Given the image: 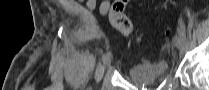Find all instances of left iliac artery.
<instances>
[{
	"instance_id": "44dca946",
	"label": "left iliac artery",
	"mask_w": 209,
	"mask_h": 90,
	"mask_svg": "<svg viewBox=\"0 0 209 90\" xmlns=\"http://www.w3.org/2000/svg\"><path fill=\"white\" fill-rule=\"evenodd\" d=\"M185 32H186V29L183 28L182 22H179V26H178V35H179L180 37H182L184 40H186Z\"/></svg>"
}]
</instances>
